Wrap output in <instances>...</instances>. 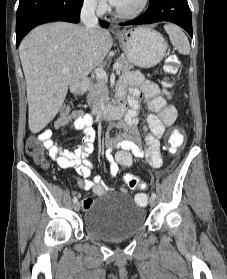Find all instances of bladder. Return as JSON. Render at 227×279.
Here are the masks:
<instances>
[{"label":"bladder","instance_id":"1","mask_svg":"<svg viewBox=\"0 0 227 279\" xmlns=\"http://www.w3.org/2000/svg\"><path fill=\"white\" fill-rule=\"evenodd\" d=\"M145 210L127 194H102L84 214L88 232L106 241H119L135 235L144 225Z\"/></svg>","mask_w":227,"mask_h":279}]
</instances>
